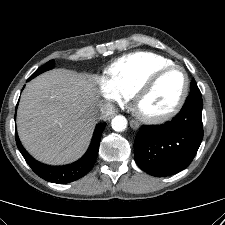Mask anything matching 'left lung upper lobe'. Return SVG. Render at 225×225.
Instances as JSON below:
<instances>
[{
    "label": "left lung upper lobe",
    "instance_id": "obj_1",
    "mask_svg": "<svg viewBox=\"0 0 225 225\" xmlns=\"http://www.w3.org/2000/svg\"><path fill=\"white\" fill-rule=\"evenodd\" d=\"M201 94L195 80H192L191 86H190V94Z\"/></svg>",
    "mask_w": 225,
    "mask_h": 225
}]
</instances>
